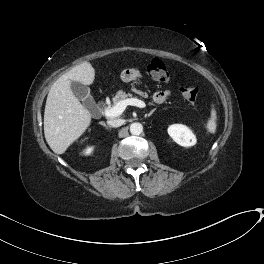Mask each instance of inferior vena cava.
Instances as JSON below:
<instances>
[{
  "label": "inferior vena cava",
  "instance_id": "inferior-vena-cava-1",
  "mask_svg": "<svg viewBox=\"0 0 264 264\" xmlns=\"http://www.w3.org/2000/svg\"><path fill=\"white\" fill-rule=\"evenodd\" d=\"M107 123L110 127H119L124 123V120H122V119H111V120H108Z\"/></svg>",
  "mask_w": 264,
  "mask_h": 264
}]
</instances>
